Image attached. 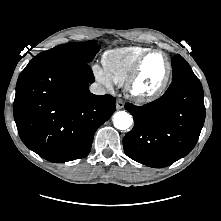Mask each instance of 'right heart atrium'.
Segmentation results:
<instances>
[{
  "label": "right heart atrium",
  "instance_id": "obj_1",
  "mask_svg": "<svg viewBox=\"0 0 221 221\" xmlns=\"http://www.w3.org/2000/svg\"><path fill=\"white\" fill-rule=\"evenodd\" d=\"M92 73H93V76L95 77V79L99 83H101L102 85H104L107 88L112 87V81L110 80V78L106 74L103 67L99 66L98 64L93 65L92 66Z\"/></svg>",
  "mask_w": 221,
  "mask_h": 221
}]
</instances>
